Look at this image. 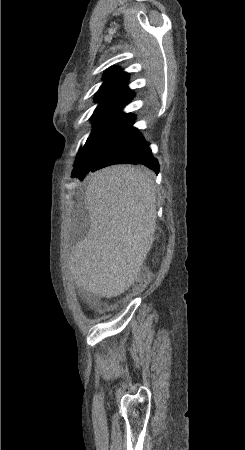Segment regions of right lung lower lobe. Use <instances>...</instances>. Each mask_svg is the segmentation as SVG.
Wrapping results in <instances>:
<instances>
[{"mask_svg": "<svg viewBox=\"0 0 245 450\" xmlns=\"http://www.w3.org/2000/svg\"><path fill=\"white\" fill-rule=\"evenodd\" d=\"M141 163L156 174L159 172L158 161L153 157L148 144L136 129L133 138L114 152L105 153L90 169L74 174L72 177L83 179L89 171H95L111 164Z\"/></svg>", "mask_w": 245, "mask_h": 450, "instance_id": "1", "label": "right lung lower lobe"}]
</instances>
